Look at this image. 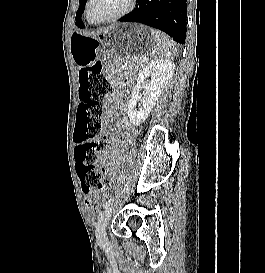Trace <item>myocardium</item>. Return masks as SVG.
I'll list each match as a JSON object with an SVG mask.
<instances>
[{
  "label": "myocardium",
  "mask_w": 265,
  "mask_h": 273,
  "mask_svg": "<svg viewBox=\"0 0 265 273\" xmlns=\"http://www.w3.org/2000/svg\"><path fill=\"white\" fill-rule=\"evenodd\" d=\"M91 3H92V0H88L87 3H86V16H87V19L91 23H94V24H103V23L114 22L116 20H119V19L123 18L127 14H129L135 8L137 0H130L128 6L124 10H122L121 12L117 13L116 15H114L112 17L102 19V20H96V19H93L91 17V14H90Z\"/></svg>",
  "instance_id": "f54148a6"
}]
</instances>
